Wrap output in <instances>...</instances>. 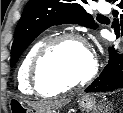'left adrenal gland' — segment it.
Listing matches in <instances>:
<instances>
[{
    "label": "left adrenal gland",
    "instance_id": "a2214340",
    "mask_svg": "<svg viewBox=\"0 0 123 113\" xmlns=\"http://www.w3.org/2000/svg\"><path fill=\"white\" fill-rule=\"evenodd\" d=\"M112 109V108H111ZM101 113H107V110L106 111H102L101 109H99Z\"/></svg>",
    "mask_w": 123,
    "mask_h": 113
}]
</instances>
